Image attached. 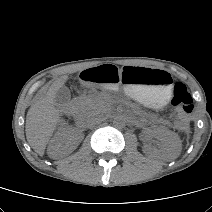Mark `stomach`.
Instances as JSON below:
<instances>
[{
    "instance_id": "obj_1",
    "label": "stomach",
    "mask_w": 212,
    "mask_h": 212,
    "mask_svg": "<svg viewBox=\"0 0 212 212\" xmlns=\"http://www.w3.org/2000/svg\"><path fill=\"white\" fill-rule=\"evenodd\" d=\"M80 77L86 85L98 83L120 93H127L153 108H160L165 105L172 88L170 74L150 66H113L104 63L93 69L90 67L83 68Z\"/></svg>"
}]
</instances>
